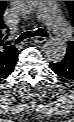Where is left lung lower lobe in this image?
I'll return each mask as SVG.
<instances>
[{
  "mask_svg": "<svg viewBox=\"0 0 74 122\" xmlns=\"http://www.w3.org/2000/svg\"><path fill=\"white\" fill-rule=\"evenodd\" d=\"M52 70L64 79L74 80V49L68 47L64 58L56 63H50Z\"/></svg>",
  "mask_w": 74,
  "mask_h": 122,
  "instance_id": "obj_1",
  "label": "left lung lower lobe"
}]
</instances>
